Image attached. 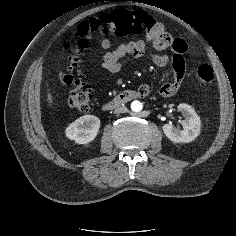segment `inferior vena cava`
<instances>
[{"label": "inferior vena cava", "instance_id": "obj_1", "mask_svg": "<svg viewBox=\"0 0 236 236\" xmlns=\"http://www.w3.org/2000/svg\"><path fill=\"white\" fill-rule=\"evenodd\" d=\"M128 110H127V107H125V106H120V107H118V108H116L115 110H114V113L115 114H120V113H125V112H127Z\"/></svg>", "mask_w": 236, "mask_h": 236}]
</instances>
